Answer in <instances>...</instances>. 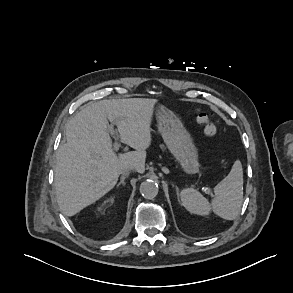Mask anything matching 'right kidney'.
Listing matches in <instances>:
<instances>
[{
    "label": "right kidney",
    "mask_w": 293,
    "mask_h": 293,
    "mask_svg": "<svg viewBox=\"0 0 293 293\" xmlns=\"http://www.w3.org/2000/svg\"><path fill=\"white\" fill-rule=\"evenodd\" d=\"M109 201H110V202H113V199H110Z\"/></svg>",
    "instance_id": "1"
}]
</instances>
